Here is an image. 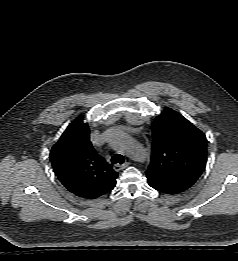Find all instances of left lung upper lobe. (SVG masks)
Wrapping results in <instances>:
<instances>
[{"label": "left lung upper lobe", "instance_id": "obj_1", "mask_svg": "<svg viewBox=\"0 0 238 261\" xmlns=\"http://www.w3.org/2000/svg\"><path fill=\"white\" fill-rule=\"evenodd\" d=\"M151 163L148 183L172 194L190 188L203 173L207 140L201 130L178 112L166 107L152 124Z\"/></svg>", "mask_w": 238, "mask_h": 261}]
</instances>
